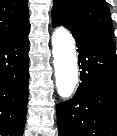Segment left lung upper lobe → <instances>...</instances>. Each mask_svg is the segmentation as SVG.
Returning a JSON list of instances; mask_svg holds the SVG:
<instances>
[{
	"mask_svg": "<svg viewBox=\"0 0 117 136\" xmlns=\"http://www.w3.org/2000/svg\"><path fill=\"white\" fill-rule=\"evenodd\" d=\"M52 20L72 31L113 40L114 29L105 0H54Z\"/></svg>",
	"mask_w": 117,
	"mask_h": 136,
	"instance_id": "5c2ea615",
	"label": "left lung upper lobe"
}]
</instances>
